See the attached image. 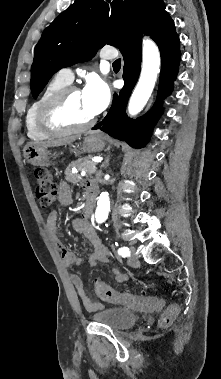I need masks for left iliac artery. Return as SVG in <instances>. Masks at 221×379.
<instances>
[{
  "label": "left iliac artery",
  "mask_w": 221,
  "mask_h": 379,
  "mask_svg": "<svg viewBox=\"0 0 221 379\" xmlns=\"http://www.w3.org/2000/svg\"><path fill=\"white\" fill-rule=\"evenodd\" d=\"M118 254L121 255L122 257H129L130 256V250L127 247H120L118 249Z\"/></svg>",
  "instance_id": "1"
}]
</instances>
